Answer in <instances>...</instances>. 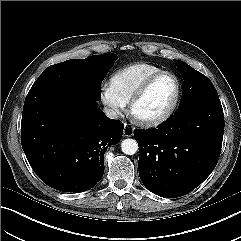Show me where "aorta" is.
Segmentation results:
<instances>
[{
  "instance_id": "obj_1",
  "label": "aorta",
  "mask_w": 241,
  "mask_h": 241,
  "mask_svg": "<svg viewBox=\"0 0 241 241\" xmlns=\"http://www.w3.org/2000/svg\"><path fill=\"white\" fill-rule=\"evenodd\" d=\"M121 150L126 155H133L138 151V143L132 138L124 139L121 142Z\"/></svg>"
}]
</instances>
